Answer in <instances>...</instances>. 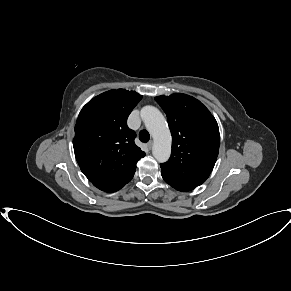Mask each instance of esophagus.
Instances as JSON below:
<instances>
[{
	"label": "esophagus",
	"instance_id": "obj_1",
	"mask_svg": "<svg viewBox=\"0 0 291 291\" xmlns=\"http://www.w3.org/2000/svg\"><path fill=\"white\" fill-rule=\"evenodd\" d=\"M152 145H153V142L152 141H149L147 143V147H148L149 150L152 148Z\"/></svg>",
	"mask_w": 291,
	"mask_h": 291
}]
</instances>
